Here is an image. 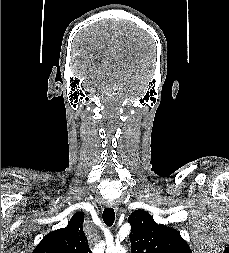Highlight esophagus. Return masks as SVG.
Returning a JSON list of instances; mask_svg holds the SVG:
<instances>
[{
    "label": "esophagus",
    "mask_w": 229,
    "mask_h": 253,
    "mask_svg": "<svg viewBox=\"0 0 229 253\" xmlns=\"http://www.w3.org/2000/svg\"><path fill=\"white\" fill-rule=\"evenodd\" d=\"M106 206L109 208H114L116 211H118V204L114 201L107 202Z\"/></svg>",
    "instance_id": "esophagus-1"
}]
</instances>
